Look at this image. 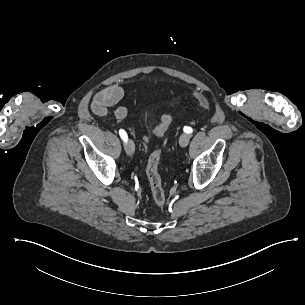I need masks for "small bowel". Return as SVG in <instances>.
<instances>
[{"instance_id":"1","label":"small bowel","mask_w":305,"mask_h":305,"mask_svg":"<svg viewBox=\"0 0 305 305\" xmlns=\"http://www.w3.org/2000/svg\"><path fill=\"white\" fill-rule=\"evenodd\" d=\"M123 97V89L118 84L109 85L98 91L91 102L92 112L101 117L109 114V108L117 104ZM128 114L126 106H119L112 112V117L116 120L124 119Z\"/></svg>"}]
</instances>
